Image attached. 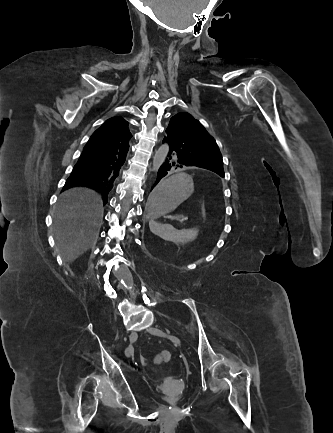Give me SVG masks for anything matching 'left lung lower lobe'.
I'll return each instance as SVG.
<instances>
[{
    "label": "left lung lower lobe",
    "mask_w": 333,
    "mask_h": 433,
    "mask_svg": "<svg viewBox=\"0 0 333 433\" xmlns=\"http://www.w3.org/2000/svg\"><path fill=\"white\" fill-rule=\"evenodd\" d=\"M163 142H167L166 138H164ZM168 143V142H167ZM169 144V143H168ZM186 167H194V165H192L189 162H186L184 160H181L175 153L172 152V150L170 149L165 161L163 162V164L160 166L159 170H158V174L155 180V184L152 188H154L156 186V184L164 177L166 176L170 171V170H175L178 168H186ZM151 209V206H148V210Z\"/></svg>",
    "instance_id": "0a47b994"
}]
</instances>
